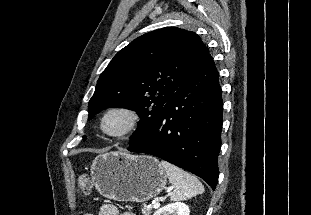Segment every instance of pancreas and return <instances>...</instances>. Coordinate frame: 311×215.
<instances>
[{"instance_id": "obj_1", "label": "pancreas", "mask_w": 311, "mask_h": 215, "mask_svg": "<svg viewBox=\"0 0 311 215\" xmlns=\"http://www.w3.org/2000/svg\"><path fill=\"white\" fill-rule=\"evenodd\" d=\"M141 210H142L143 215H150L152 213L151 209L145 206Z\"/></svg>"}]
</instances>
